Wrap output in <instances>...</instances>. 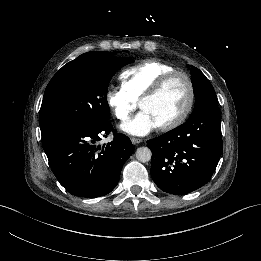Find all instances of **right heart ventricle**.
<instances>
[{
  "label": "right heart ventricle",
  "mask_w": 261,
  "mask_h": 261,
  "mask_svg": "<svg viewBox=\"0 0 261 261\" xmlns=\"http://www.w3.org/2000/svg\"><path fill=\"white\" fill-rule=\"evenodd\" d=\"M175 68L167 62L150 58L124 70L120 75L121 89L133 100L139 102L162 75Z\"/></svg>",
  "instance_id": "e07e8e85"
}]
</instances>
